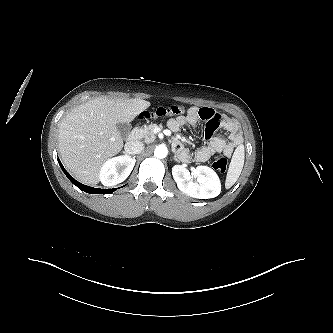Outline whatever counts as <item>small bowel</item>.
Masks as SVG:
<instances>
[{"label": "small bowel", "instance_id": "1", "mask_svg": "<svg viewBox=\"0 0 333 333\" xmlns=\"http://www.w3.org/2000/svg\"><path fill=\"white\" fill-rule=\"evenodd\" d=\"M199 121L205 122L204 139L207 144L194 153L197 161L205 162L219 153L230 157L234 150L242 144L243 136L236 120L222 115L210 107H191L185 116L170 119L168 127L176 132L185 124L195 126ZM218 128H223L228 132V140L222 136H214V132ZM173 145L183 159L190 158L189 150L183 147L179 139H175Z\"/></svg>", "mask_w": 333, "mask_h": 333}]
</instances>
